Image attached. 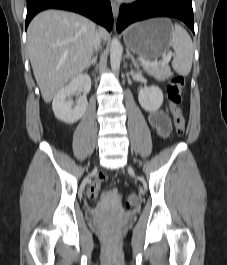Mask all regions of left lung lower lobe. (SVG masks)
Returning a JSON list of instances; mask_svg holds the SVG:
<instances>
[{"label":"left lung lower lobe","instance_id":"1","mask_svg":"<svg viewBox=\"0 0 227 265\" xmlns=\"http://www.w3.org/2000/svg\"><path fill=\"white\" fill-rule=\"evenodd\" d=\"M161 16L182 20L194 33L191 0H138L132 4L122 5L117 21V31L121 32L133 22Z\"/></svg>","mask_w":227,"mask_h":265}]
</instances>
